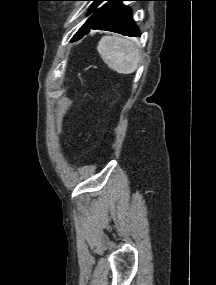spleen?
Returning a JSON list of instances; mask_svg holds the SVG:
<instances>
[{
    "mask_svg": "<svg viewBox=\"0 0 216 285\" xmlns=\"http://www.w3.org/2000/svg\"><path fill=\"white\" fill-rule=\"evenodd\" d=\"M97 51L110 69L124 75L135 72L141 58L139 45L118 35L103 36Z\"/></svg>",
    "mask_w": 216,
    "mask_h": 285,
    "instance_id": "1",
    "label": "spleen"
}]
</instances>
